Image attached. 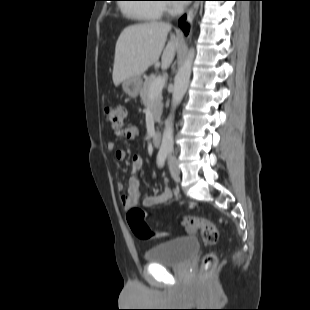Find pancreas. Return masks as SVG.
I'll use <instances>...</instances> for the list:
<instances>
[{"label": "pancreas", "mask_w": 310, "mask_h": 310, "mask_svg": "<svg viewBox=\"0 0 310 310\" xmlns=\"http://www.w3.org/2000/svg\"><path fill=\"white\" fill-rule=\"evenodd\" d=\"M155 79L156 77L154 75H151L150 77L145 79V82L140 90V97L144 106L151 107L154 120L156 122H159L162 113V93H158L153 97V99H150L149 96L150 87L155 81Z\"/></svg>", "instance_id": "obj_1"}]
</instances>
